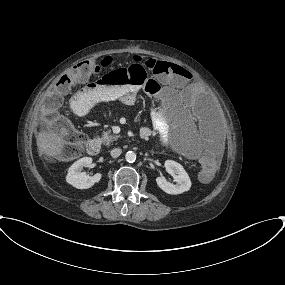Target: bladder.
I'll list each match as a JSON object with an SVG mask.
<instances>
[{
    "instance_id": "obj_1",
    "label": "bladder",
    "mask_w": 285,
    "mask_h": 285,
    "mask_svg": "<svg viewBox=\"0 0 285 285\" xmlns=\"http://www.w3.org/2000/svg\"><path fill=\"white\" fill-rule=\"evenodd\" d=\"M174 146L176 151L182 155H190L193 152V147L185 141H178Z\"/></svg>"
}]
</instances>
